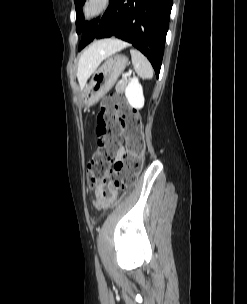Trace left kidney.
<instances>
[{"instance_id":"obj_1","label":"left kidney","mask_w":247,"mask_h":304,"mask_svg":"<svg viewBox=\"0 0 247 304\" xmlns=\"http://www.w3.org/2000/svg\"><path fill=\"white\" fill-rule=\"evenodd\" d=\"M125 96L133 108L141 109L144 106L143 89L138 78L131 79L125 89Z\"/></svg>"}]
</instances>
